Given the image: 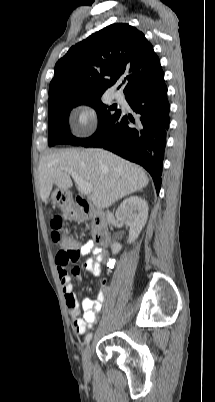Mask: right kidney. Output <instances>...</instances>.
Returning <instances> with one entry per match:
<instances>
[{"label":"right kidney","mask_w":215,"mask_h":402,"mask_svg":"<svg viewBox=\"0 0 215 402\" xmlns=\"http://www.w3.org/2000/svg\"><path fill=\"white\" fill-rule=\"evenodd\" d=\"M115 215L117 220L130 227L127 242L132 243L138 238L147 222L148 204L144 199L138 196H131L120 204ZM111 248L112 253L117 254L122 246L118 242H114Z\"/></svg>","instance_id":"obj_1"}]
</instances>
